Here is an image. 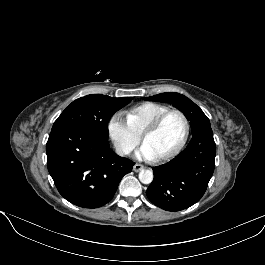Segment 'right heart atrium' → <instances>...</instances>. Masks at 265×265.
Returning <instances> with one entry per match:
<instances>
[{
    "label": "right heart atrium",
    "mask_w": 265,
    "mask_h": 265,
    "mask_svg": "<svg viewBox=\"0 0 265 265\" xmlns=\"http://www.w3.org/2000/svg\"><path fill=\"white\" fill-rule=\"evenodd\" d=\"M107 129L116 150L122 155L130 153L140 140V136L132 131L119 114L109 118Z\"/></svg>",
    "instance_id": "right-heart-atrium-1"
}]
</instances>
